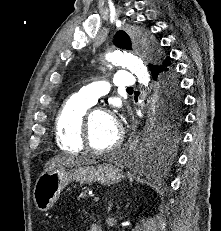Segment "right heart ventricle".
Here are the masks:
<instances>
[{
	"mask_svg": "<svg viewBox=\"0 0 221 231\" xmlns=\"http://www.w3.org/2000/svg\"><path fill=\"white\" fill-rule=\"evenodd\" d=\"M90 104L77 96L69 97L61 106L54 123L56 143L66 153H79L84 147L81 142V122Z\"/></svg>",
	"mask_w": 221,
	"mask_h": 231,
	"instance_id": "1",
	"label": "right heart ventricle"
}]
</instances>
